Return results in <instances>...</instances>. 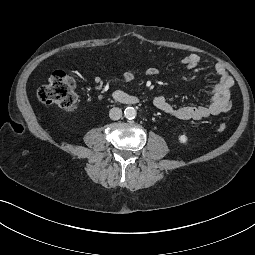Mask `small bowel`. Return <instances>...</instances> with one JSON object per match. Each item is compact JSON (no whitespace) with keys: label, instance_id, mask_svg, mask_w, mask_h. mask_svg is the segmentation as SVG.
<instances>
[{"label":"small bowel","instance_id":"small-bowel-1","mask_svg":"<svg viewBox=\"0 0 255 255\" xmlns=\"http://www.w3.org/2000/svg\"><path fill=\"white\" fill-rule=\"evenodd\" d=\"M181 63L187 69H194L200 65L201 58L198 54L190 53L181 59ZM214 70L219 81L208 90L209 101L207 104L176 107L164 96H156L153 99L154 106L161 112L179 120H201L209 116L228 112L232 107V87L234 81L223 64L217 63ZM158 73V68L153 66L147 67L143 71V74L146 76H156ZM137 75L135 71H127L121 76L114 78L113 83L130 82Z\"/></svg>","mask_w":255,"mask_h":255}]
</instances>
